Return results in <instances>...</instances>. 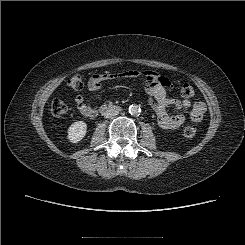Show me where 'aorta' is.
<instances>
[{
  "instance_id": "aorta-1",
  "label": "aorta",
  "mask_w": 245,
  "mask_h": 245,
  "mask_svg": "<svg viewBox=\"0 0 245 245\" xmlns=\"http://www.w3.org/2000/svg\"><path fill=\"white\" fill-rule=\"evenodd\" d=\"M128 110H129V113L131 115H138L141 112L140 107L138 105H136V104L130 105L129 108H128Z\"/></svg>"
}]
</instances>
